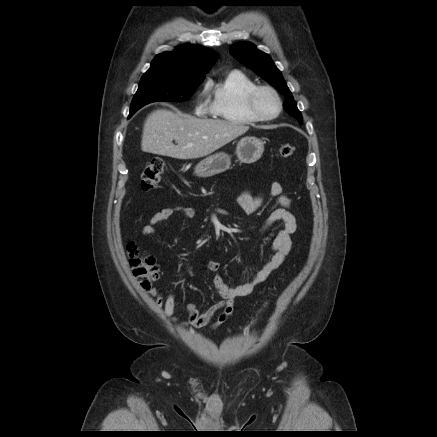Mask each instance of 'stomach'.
<instances>
[{
    "mask_svg": "<svg viewBox=\"0 0 437 437\" xmlns=\"http://www.w3.org/2000/svg\"><path fill=\"white\" fill-rule=\"evenodd\" d=\"M263 152L264 143L256 137H244L237 143L236 155L243 163L256 162ZM230 164V156L219 152L200 161L194 169V174L203 178L214 176L228 170Z\"/></svg>",
    "mask_w": 437,
    "mask_h": 437,
    "instance_id": "0dacf381",
    "label": "stomach"
}]
</instances>
